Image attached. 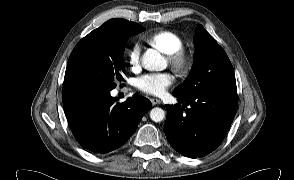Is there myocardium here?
Wrapping results in <instances>:
<instances>
[{"label": "myocardium", "mask_w": 294, "mask_h": 180, "mask_svg": "<svg viewBox=\"0 0 294 180\" xmlns=\"http://www.w3.org/2000/svg\"><path fill=\"white\" fill-rule=\"evenodd\" d=\"M169 59L171 65L178 73H183L186 71L190 64L188 55L182 50L169 55Z\"/></svg>", "instance_id": "obj_1"}]
</instances>
